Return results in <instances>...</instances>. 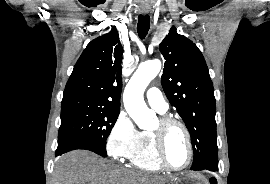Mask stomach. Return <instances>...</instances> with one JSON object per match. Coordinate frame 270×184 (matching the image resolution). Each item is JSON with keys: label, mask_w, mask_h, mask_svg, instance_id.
Returning <instances> with one entry per match:
<instances>
[{"label": "stomach", "mask_w": 270, "mask_h": 184, "mask_svg": "<svg viewBox=\"0 0 270 184\" xmlns=\"http://www.w3.org/2000/svg\"><path fill=\"white\" fill-rule=\"evenodd\" d=\"M170 184H209L207 179L197 173H185L175 177Z\"/></svg>", "instance_id": "0dacf381"}]
</instances>
